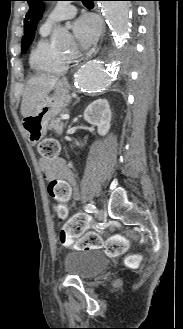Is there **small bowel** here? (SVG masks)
<instances>
[{"instance_id":"obj_1","label":"small bowel","mask_w":183,"mask_h":329,"mask_svg":"<svg viewBox=\"0 0 183 329\" xmlns=\"http://www.w3.org/2000/svg\"><path fill=\"white\" fill-rule=\"evenodd\" d=\"M40 168L47 182L45 188L50 194L52 208H58L56 218H73L71 208H77L78 184L74 172L64 166L61 160L40 161ZM89 224V223H88ZM66 247L73 246V240H61Z\"/></svg>"}]
</instances>
